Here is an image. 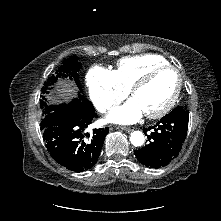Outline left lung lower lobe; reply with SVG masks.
<instances>
[{
  "label": "left lung lower lobe",
  "instance_id": "left-lung-lower-lobe-1",
  "mask_svg": "<svg viewBox=\"0 0 221 221\" xmlns=\"http://www.w3.org/2000/svg\"><path fill=\"white\" fill-rule=\"evenodd\" d=\"M188 121L189 111L178 106L162 117L156 125L144 128V132L151 131L146 135L149 142L134 151L137 160L155 169L168 165L181 150L187 135Z\"/></svg>",
  "mask_w": 221,
  "mask_h": 221
}]
</instances>
